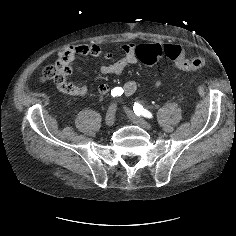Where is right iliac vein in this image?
I'll return each mask as SVG.
<instances>
[{
  "mask_svg": "<svg viewBox=\"0 0 236 236\" xmlns=\"http://www.w3.org/2000/svg\"><path fill=\"white\" fill-rule=\"evenodd\" d=\"M116 112V106L115 105H111L108 108L107 114H106V118H105V123L108 127H112L114 125V115Z\"/></svg>",
  "mask_w": 236,
  "mask_h": 236,
  "instance_id": "obj_1",
  "label": "right iliac vein"
}]
</instances>
